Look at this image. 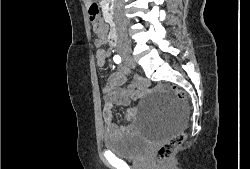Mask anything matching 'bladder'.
Returning a JSON list of instances; mask_svg holds the SVG:
<instances>
[{"mask_svg":"<svg viewBox=\"0 0 250 169\" xmlns=\"http://www.w3.org/2000/svg\"><path fill=\"white\" fill-rule=\"evenodd\" d=\"M103 146L106 151L123 158H138L151 147L145 142L144 134L131 132L108 133L103 137Z\"/></svg>","mask_w":250,"mask_h":169,"instance_id":"1","label":"bladder"}]
</instances>
